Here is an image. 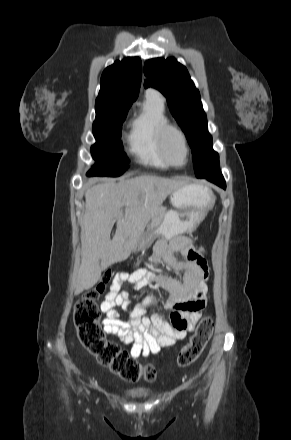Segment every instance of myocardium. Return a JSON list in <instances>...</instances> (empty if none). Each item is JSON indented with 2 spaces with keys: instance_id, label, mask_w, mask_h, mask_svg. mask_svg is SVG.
<instances>
[{
  "instance_id": "f54148a6",
  "label": "myocardium",
  "mask_w": 291,
  "mask_h": 440,
  "mask_svg": "<svg viewBox=\"0 0 291 440\" xmlns=\"http://www.w3.org/2000/svg\"><path fill=\"white\" fill-rule=\"evenodd\" d=\"M171 133H175L180 138L183 144L185 150V161L182 164H177L173 162L168 155L167 138ZM158 143H159V150L161 156L169 166L181 168L188 163L189 154H190L189 145L185 133L178 126L169 123H166L163 126H161V128L158 131Z\"/></svg>"
}]
</instances>
